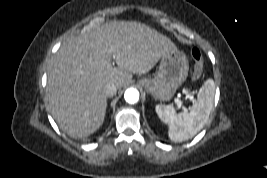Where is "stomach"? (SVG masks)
<instances>
[{
  "instance_id": "stomach-1",
  "label": "stomach",
  "mask_w": 267,
  "mask_h": 178,
  "mask_svg": "<svg viewBox=\"0 0 267 178\" xmlns=\"http://www.w3.org/2000/svg\"><path fill=\"white\" fill-rule=\"evenodd\" d=\"M189 62L186 55L177 48L172 49L161 57L158 71L154 78H143L139 84L153 98L170 100L177 88L188 76Z\"/></svg>"
}]
</instances>
